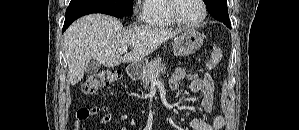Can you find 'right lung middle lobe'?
I'll return each mask as SVG.
<instances>
[{
  "mask_svg": "<svg viewBox=\"0 0 299 130\" xmlns=\"http://www.w3.org/2000/svg\"><path fill=\"white\" fill-rule=\"evenodd\" d=\"M133 0H71L69 8L88 7L130 16Z\"/></svg>",
  "mask_w": 299,
  "mask_h": 130,
  "instance_id": "obj_1",
  "label": "right lung middle lobe"
}]
</instances>
